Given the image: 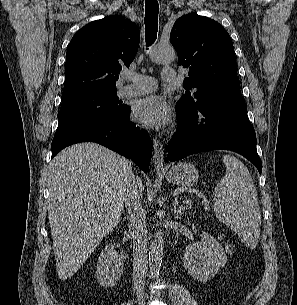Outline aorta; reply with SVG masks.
<instances>
[{
	"instance_id": "obj_1",
	"label": "aorta",
	"mask_w": 297,
	"mask_h": 305,
	"mask_svg": "<svg viewBox=\"0 0 297 305\" xmlns=\"http://www.w3.org/2000/svg\"><path fill=\"white\" fill-rule=\"evenodd\" d=\"M176 57L175 49L168 45H158L153 48L150 54V58L157 64L171 63ZM164 248L163 231L158 230L153 237L149 250V269L152 277L159 275V271L162 264Z\"/></svg>"
}]
</instances>
